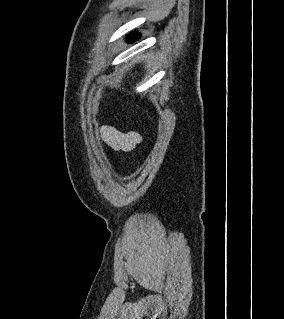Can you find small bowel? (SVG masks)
<instances>
[{
	"label": "small bowel",
	"instance_id": "1",
	"mask_svg": "<svg viewBox=\"0 0 284 319\" xmlns=\"http://www.w3.org/2000/svg\"><path fill=\"white\" fill-rule=\"evenodd\" d=\"M104 142L115 151H131L141 142V136L134 131H121L115 127L102 128Z\"/></svg>",
	"mask_w": 284,
	"mask_h": 319
}]
</instances>
